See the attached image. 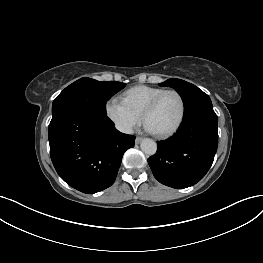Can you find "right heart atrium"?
Wrapping results in <instances>:
<instances>
[{"label": "right heart atrium", "mask_w": 263, "mask_h": 263, "mask_svg": "<svg viewBox=\"0 0 263 263\" xmlns=\"http://www.w3.org/2000/svg\"><path fill=\"white\" fill-rule=\"evenodd\" d=\"M105 112L115 128L124 134L132 133L141 123V116L116 98H111L106 102Z\"/></svg>", "instance_id": "right-heart-atrium-1"}]
</instances>
